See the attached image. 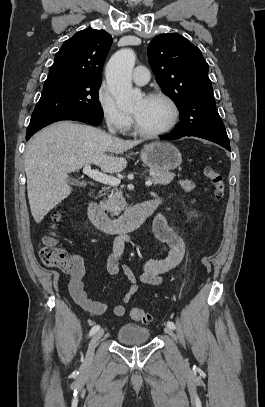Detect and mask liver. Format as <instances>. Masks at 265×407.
Segmentation results:
<instances>
[{"instance_id": "6515ba94", "label": "liver", "mask_w": 265, "mask_h": 407, "mask_svg": "<svg viewBox=\"0 0 265 407\" xmlns=\"http://www.w3.org/2000/svg\"><path fill=\"white\" fill-rule=\"evenodd\" d=\"M141 142L69 121L54 123L36 133L24 156L28 199L36 223L70 195V173L90 164L103 172H121L127 161L113 154L126 152Z\"/></svg>"}]
</instances>
